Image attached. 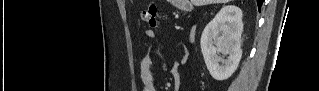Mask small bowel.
Returning a JSON list of instances; mask_svg holds the SVG:
<instances>
[{
    "instance_id": "small-bowel-1",
    "label": "small bowel",
    "mask_w": 319,
    "mask_h": 91,
    "mask_svg": "<svg viewBox=\"0 0 319 91\" xmlns=\"http://www.w3.org/2000/svg\"><path fill=\"white\" fill-rule=\"evenodd\" d=\"M145 37L148 40H154L156 38V33L153 30H146ZM153 47L149 48V53L141 60L139 66V82L142 86L143 91H156V88L153 83L152 73H151V65L153 61L152 57ZM187 59L186 53H184V59L181 62H176L173 64L171 68V74L174 77L175 85L177 86L176 90H179L178 87L180 85V77L179 70L181 64L185 63Z\"/></svg>"
}]
</instances>
